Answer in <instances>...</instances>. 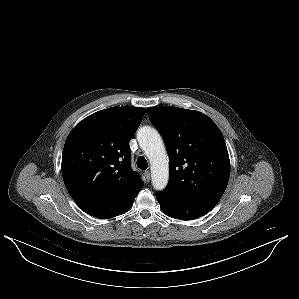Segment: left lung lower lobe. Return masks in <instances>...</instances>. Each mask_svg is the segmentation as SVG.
Masks as SVG:
<instances>
[{"instance_id":"1","label":"left lung lower lobe","mask_w":299,"mask_h":299,"mask_svg":"<svg viewBox=\"0 0 299 299\" xmlns=\"http://www.w3.org/2000/svg\"><path fill=\"white\" fill-rule=\"evenodd\" d=\"M162 211L169 217L193 220L209 212L219 200L201 197H181L156 193Z\"/></svg>"}]
</instances>
